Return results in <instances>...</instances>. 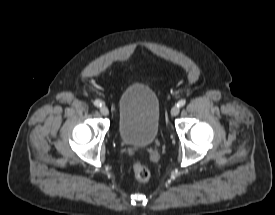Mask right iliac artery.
<instances>
[{
  "label": "right iliac artery",
  "mask_w": 275,
  "mask_h": 215,
  "mask_svg": "<svg viewBox=\"0 0 275 215\" xmlns=\"http://www.w3.org/2000/svg\"><path fill=\"white\" fill-rule=\"evenodd\" d=\"M94 105H95L96 107H101V106H102V103H101V101H99V100H95V101H94Z\"/></svg>",
  "instance_id": "1"
}]
</instances>
